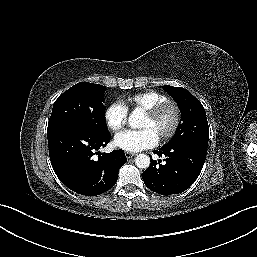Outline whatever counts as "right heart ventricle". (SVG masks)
Masks as SVG:
<instances>
[{
  "label": "right heart ventricle",
  "mask_w": 257,
  "mask_h": 257,
  "mask_svg": "<svg viewBox=\"0 0 257 257\" xmlns=\"http://www.w3.org/2000/svg\"><path fill=\"white\" fill-rule=\"evenodd\" d=\"M167 99H169L168 96L162 92L147 90L128 96L124 100V104L132 110L145 111Z\"/></svg>",
  "instance_id": "obj_1"
}]
</instances>
